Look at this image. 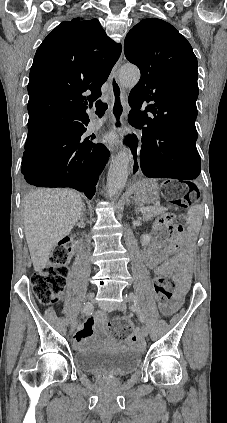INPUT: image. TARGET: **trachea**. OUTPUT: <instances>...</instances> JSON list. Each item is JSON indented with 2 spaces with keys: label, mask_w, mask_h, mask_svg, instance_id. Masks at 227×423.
Here are the masks:
<instances>
[{
  "label": "trachea",
  "mask_w": 227,
  "mask_h": 423,
  "mask_svg": "<svg viewBox=\"0 0 227 423\" xmlns=\"http://www.w3.org/2000/svg\"><path fill=\"white\" fill-rule=\"evenodd\" d=\"M108 108L107 103L102 102L101 100L96 101V114L101 117L104 115Z\"/></svg>",
  "instance_id": "trachea-1"
}]
</instances>
